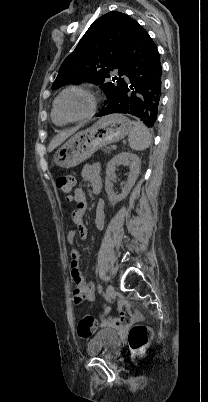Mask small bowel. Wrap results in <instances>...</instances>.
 Listing matches in <instances>:
<instances>
[{"mask_svg": "<svg viewBox=\"0 0 208 402\" xmlns=\"http://www.w3.org/2000/svg\"><path fill=\"white\" fill-rule=\"evenodd\" d=\"M79 179L82 182H89L92 186V190L97 193L101 191L102 182L100 177V166L97 163H91L85 165L80 173ZM73 199L75 200L77 207L73 211L72 217L76 226L70 230L67 235L69 243H73L75 238L79 236L84 239L87 236V229L82 223L83 215L87 209L86 194L82 188L75 189L73 193ZM105 224V205L103 201H99L96 206L95 226L98 229H102ZM70 257L72 263L71 276L76 284V293L84 295L88 299H94L95 285L93 282L86 281L79 269V253L76 248H71Z\"/></svg>", "mask_w": 208, "mask_h": 402, "instance_id": "c3829d8e", "label": "small bowel"}]
</instances>
